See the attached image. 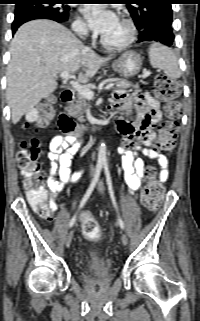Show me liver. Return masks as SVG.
Here are the masks:
<instances>
[{
    "label": "liver",
    "instance_id": "liver-1",
    "mask_svg": "<svg viewBox=\"0 0 200 321\" xmlns=\"http://www.w3.org/2000/svg\"><path fill=\"white\" fill-rule=\"evenodd\" d=\"M10 50L6 95L13 124L56 90L57 74L75 73L82 67L84 72L78 79L86 83L112 59V56L100 57L67 28L46 19L22 25L12 39Z\"/></svg>",
    "mask_w": 200,
    "mask_h": 321
}]
</instances>
